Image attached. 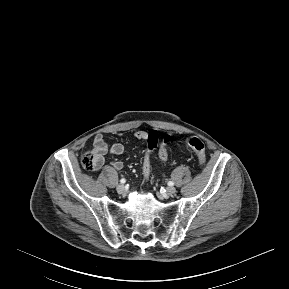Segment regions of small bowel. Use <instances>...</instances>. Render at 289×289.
<instances>
[{"mask_svg": "<svg viewBox=\"0 0 289 289\" xmlns=\"http://www.w3.org/2000/svg\"><path fill=\"white\" fill-rule=\"evenodd\" d=\"M134 138L139 140H147L148 138V132L145 131H137L134 133ZM93 154L95 155L97 159V165L96 169L100 168L103 165L104 162V156L106 154L110 155H120L124 152V146L121 143H114L112 145H108L103 136L101 134H98L93 139V145H92ZM111 166L115 170H121L123 168V164L121 161H113L111 163Z\"/></svg>", "mask_w": 289, "mask_h": 289, "instance_id": "small-bowel-1", "label": "small bowel"}]
</instances>
